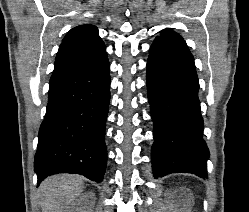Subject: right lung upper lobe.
<instances>
[{"instance_id": "right-lung-upper-lobe-1", "label": "right lung upper lobe", "mask_w": 249, "mask_h": 212, "mask_svg": "<svg viewBox=\"0 0 249 212\" xmlns=\"http://www.w3.org/2000/svg\"><path fill=\"white\" fill-rule=\"evenodd\" d=\"M105 55V44L98 29L90 24L79 25L64 37L51 79L85 68Z\"/></svg>"}]
</instances>
